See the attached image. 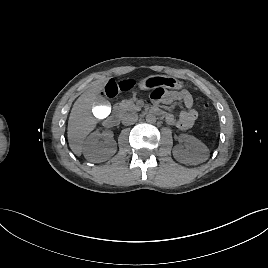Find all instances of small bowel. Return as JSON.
I'll list each match as a JSON object with an SVG mask.
<instances>
[{
  "mask_svg": "<svg viewBox=\"0 0 268 268\" xmlns=\"http://www.w3.org/2000/svg\"><path fill=\"white\" fill-rule=\"evenodd\" d=\"M151 98L155 104L154 111L159 112L165 117L167 123L180 130L190 129L198 117L197 110L193 108V97L187 90L164 92L162 88H157L152 92ZM175 101H181L185 107L178 117H175L172 113L164 112L159 107V104L169 105Z\"/></svg>",
  "mask_w": 268,
  "mask_h": 268,
  "instance_id": "obj_1",
  "label": "small bowel"
}]
</instances>
